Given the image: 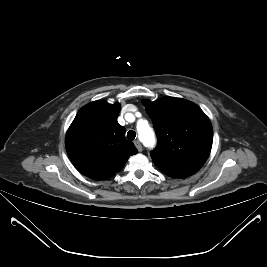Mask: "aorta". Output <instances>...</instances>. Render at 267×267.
Wrapping results in <instances>:
<instances>
[{
	"instance_id": "obj_1",
	"label": "aorta",
	"mask_w": 267,
	"mask_h": 267,
	"mask_svg": "<svg viewBox=\"0 0 267 267\" xmlns=\"http://www.w3.org/2000/svg\"><path fill=\"white\" fill-rule=\"evenodd\" d=\"M137 130L139 132V138L146 146H152L155 142V136L153 130L149 127L146 121H141L138 124Z\"/></svg>"
}]
</instances>
